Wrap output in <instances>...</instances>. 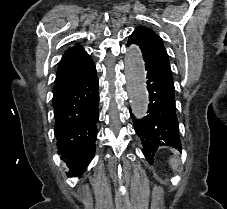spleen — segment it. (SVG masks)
I'll use <instances>...</instances> for the list:
<instances>
[{"label": "spleen", "instance_id": "obj_1", "mask_svg": "<svg viewBox=\"0 0 227 209\" xmlns=\"http://www.w3.org/2000/svg\"><path fill=\"white\" fill-rule=\"evenodd\" d=\"M169 163H170L172 169H177L178 159H176V157H173V159H170Z\"/></svg>", "mask_w": 227, "mask_h": 209}]
</instances>
